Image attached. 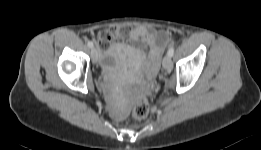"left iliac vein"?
<instances>
[{
    "label": "left iliac vein",
    "mask_w": 261,
    "mask_h": 150,
    "mask_svg": "<svg viewBox=\"0 0 261 150\" xmlns=\"http://www.w3.org/2000/svg\"><path fill=\"white\" fill-rule=\"evenodd\" d=\"M162 64L163 67L168 71L172 70L173 68L171 57L168 54L164 56Z\"/></svg>",
    "instance_id": "obj_1"
}]
</instances>
